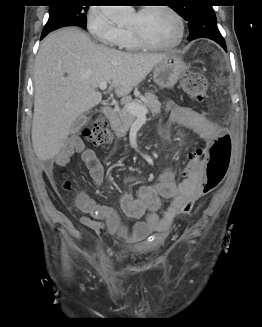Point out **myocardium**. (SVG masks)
<instances>
[{"mask_svg": "<svg viewBox=\"0 0 262 327\" xmlns=\"http://www.w3.org/2000/svg\"><path fill=\"white\" fill-rule=\"evenodd\" d=\"M150 9H162L172 15V17L176 20L178 25L177 38L173 42L167 44H158L147 39L138 30L134 28H128V30L133 35L137 43L143 48L152 49V50H169L179 46L182 43L185 36V23L183 17L172 6L166 4L141 7L137 12L142 13Z\"/></svg>", "mask_w": 262, "mask_h": 327, "instance_id": "f54148a6", "label": "myocardium"}]
</instances>
